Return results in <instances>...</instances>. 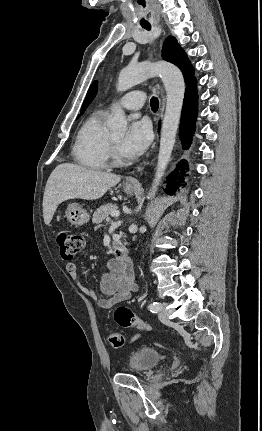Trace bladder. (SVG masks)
I'll return each instance as SVG.
<instances>
[{
	"instance_id": "bladder-1",
	"label": "bladder",
	"mask_w": 262,
	"mask_h": 431,
	"mask_svg": "<svg viewBox=\"0 0 262 431\" xmlns=\"http://www.w3.org/2000/svg\"><path fill=\"white\" fill-rule=\"evenodd\" d=\"M162 359L158 350L143 345L132 352L128 360V367L134 373H145L152 369Z\"/></svg>"
}]
</instances>
